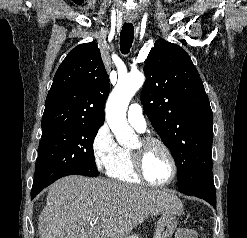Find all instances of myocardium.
Here are the masks:
<instances>
[{
	"instance_id": "myocardium-1",
	"label": "myocardium",
	"mask_w": 247,
	"mask_h": 238,
	"mask_svg": "<svg viewBox=\"0 0 247 238\" xmlns=\"http://www.w3.org/2000/svg\"><path fill=\"white\" fill-rule=\"evenodd\" d=\"M151 145H157L161 147L164 150V152L167 154L170 160L172 172H171L169 179H167L164 182H153L148 179V177L146 176L144 172V168H143L144 152ZM130 151L132 155L134 171L136 175L138 176V178L143 183L149 186H152V187H165V186L170 185L175 180L177 176V171H178L176 158L171 148L163 140L157 137H153V136H143L139 138L138 146L130 149Z\"/></svg>"
}]
</instances>
